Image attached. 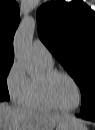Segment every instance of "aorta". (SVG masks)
Instances as JSON below:
<instances>
[{
	"mask_svg": "<svg viewBox=\"0 0 95 130\" xmlns=\"http://www.w3.org/2000/svg\"><path fill=\"white\" fill-rule=\"evenodd\" d=\"M35 28L36 20L32 17H25L14 38L15 57L29 76H34L38 72V64L32 46Z\"/></svg>",
	"mask_w": 95,
	"mask_h": 130,
	"instance_id": "obj_1",
	"label": "aorta"
}]
</instances>
